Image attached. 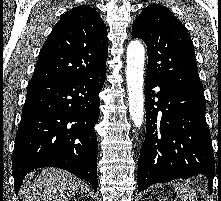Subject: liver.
<instances>
[{
	"label": "liver",
	"mask_w": 221,
	"mask_h": 201,
	"mask_svg": "<svg viewBox=\"0 0 221 201\" xmlns=\"http://www.w3.org/2000/svg\"><path fill=\"white\" fill-rule=\"evenodd\" d=\"M83 182L61 169L45 168L26 176L23 183L25 201H66L73 197Z\"/></svg>",
	"instance_id": "obj_1"
}]
</instances>
